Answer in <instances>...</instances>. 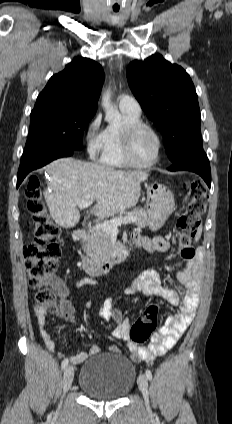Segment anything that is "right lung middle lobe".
<instances>
[{
  "mask_svg": "<svg viewBox=\"0 0 232 424\" xmlns=\"http://www.w3.org/2000/svg\"><path fill=\"white\" fill-rule=\"evenodd\" d=\"M95 113L70 106L33 109L21 160L45 149H82V133Z\"/></svg>",
  "mask_w": 232,
  "mask_h": 424,
  "instance_id": "right-lung-middle-lobe-1",
  "label": "right lung middle lobe"
}]
</instances>
